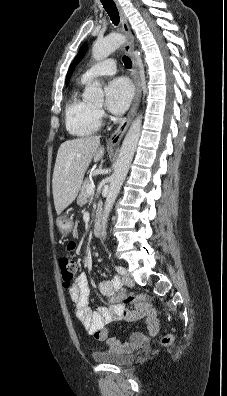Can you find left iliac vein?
I'll return each mask as SVG.
<instances>
[{"instance_id":"obj_1","label":"left iliac vein","mask_w":227,"mask_h":396,"mask_svg":"<svg viewBox=\"0 0 227 396\" xmlns=\"http://www.w3.org/2000/svg\"><path fill=\"white\" fill-rule=\"evenodd\" d=\"M124 270L125 272L122 274V282L128 287H132L134 285V280L125 268Z\"/></svg>"}]
</instances>
